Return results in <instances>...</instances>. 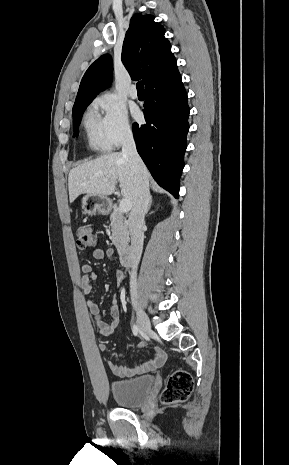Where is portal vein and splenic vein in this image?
I'll return each mask as SVG.
<instances>
[{
	"mask_svg": "<svg viewBox=\"0 0 289 465\" xmlns=\"http://www.w3.org/2000/svg\"><path fill=\"white\" fill-rule=\"evenodd\" d=\"M105 182H107V180H105ZM130 209H131L130 201L127 200V199L121 200V202L119 204V208H118L119 212L125 213V212L130 211Z\"/></svg>",
	"mask_w": 289,
	"mask_h": 465,
	"instance_id": "portal-vein-and-splenic-vein-1",
	"label": "portal vein and splenic vein"
}]
</instances>
